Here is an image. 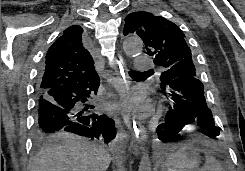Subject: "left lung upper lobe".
<instances>
[{
  "label": "left lung upper lobe",
  "mask_w": 245,
  "mask_h": 171,
  "mask_svg": "<svg viewBox=\"0 0 245 171\" xmlns=\"http://www.w3.org/2000/svg\"><path fill=\"white\" fill-rule=\"evenodd\" d=\"M124 35L136 32L143 40L147 54L157 66L166 68L161 73V89L180 77L198 78L191 49L181 29L162 16L149 12H132L125 18Z\"/></svg>",
  "instance_id": "obj_1"
}]
</instances>
